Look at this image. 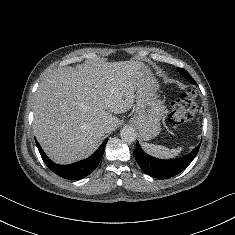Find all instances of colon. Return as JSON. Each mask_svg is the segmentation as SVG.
I'll return each mask as SVG.
<instances>
[{"label":"colon","instance_id":"1","mask_svg":"<svg viewBox=\"0 0 235 235\" xmlns=\"http://www.w3.org/2000/svg\"><path fill=\"white\" fill-rule=\"evenodd\" d=\"M197 111L196 94L186 91L179 95L171 104L168 121L179 126L190 121Z\"/></svg>","mask_w":235,"mask_h":235}]
</instances>
